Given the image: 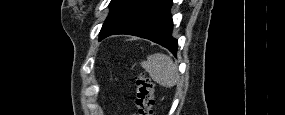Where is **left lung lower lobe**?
I'll return each mask as SVG.
<instances>
[{
	"label": "left lung lower lobe",
	"mask_w": 285,
	"mask_h": 115,
	"mask_svg": "<svg viewBox=\"0 0 285 115\" xmlns=\"http://www.w3.org/2000/svg\"><path fill=\"white\" fill-rule=\"evenodd\" d=\"M172 0H130L105 26L100 40L114 34L149 39L176 55L178 42L172 37Z\"/></svg>",
	"instance_id": "left-lung-lower-lobe-1"
}]
</instances>
